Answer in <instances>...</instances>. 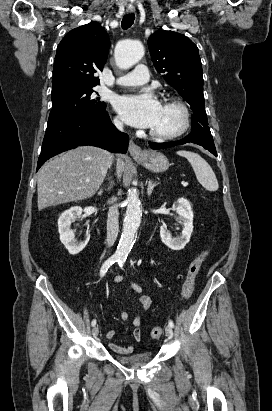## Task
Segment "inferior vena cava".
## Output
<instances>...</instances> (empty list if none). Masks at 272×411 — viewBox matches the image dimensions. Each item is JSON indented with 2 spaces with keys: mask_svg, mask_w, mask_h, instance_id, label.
Here are the masks:
<instances>
[{
  "mask_svg": "<svg viewBox=\"0 0 272 411\" xmlns=\"http://www.w3.org/2000/svg\"><path fill=\"white\" fill-rule=\"evenodd\" d=\"M115 126L120 130L123 131V123L120 122L118 119H114ZM116 198H112L110 202H115ZM119 211L116 206H112L108 212L107 218V239L106 244L108 247H112L116 241L119 232Z\"/></svg>",
  "mask_w": 272,
  "mask_h": 411,
  "instance_id": "inferior-vena-cava-1",
  "label": "inferior vena cava"
}]
</instances>
